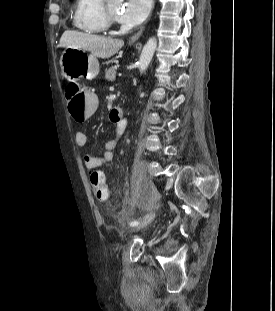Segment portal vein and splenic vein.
<instances>
[{"mask_svg": "<svg viewBox=\"0 0 275 311\" xmlns=\"http://www.w3.org/2000/svg\"><path fill=\"white\" fill-rule=\"evenodd\" d=\"M118 76L121 77V76H122V73H119Z\"/></svg>", "mask_w": 275, "mask_h": 311, "instance_id": "obj_1", "label": "portal vein and splenic vein"}]
</instances>
